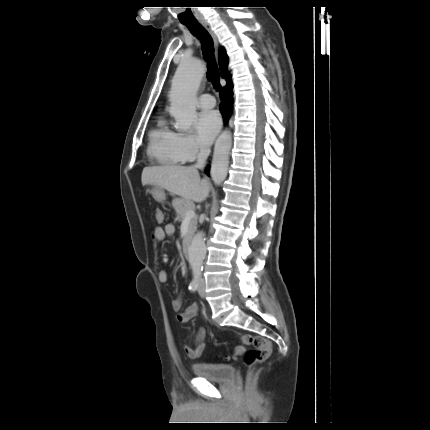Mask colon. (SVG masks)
<instances>
[{"label": "colon", "mask_w": 430, "mask_h": 430, "mask_svg": "<svg viewBox=\"0 0 430 430\" xmlns=\"http://www.w3.org/2000/svg\"><path fill=\"white\" fill-rule=\"evenodd\" d=\"M154 216L158 223H161L164 219L163 212L158 208L155 209ZM241 341L243 344L251 346V349L245 351L243 347L237 346L234 350V355L244 356V362L250 369L248 373V380H251L253 377V369L269 357L271 353V343L264 337L250 334L242 335Z\"/></svg>", "instance_id": "1"}]
</instances>
